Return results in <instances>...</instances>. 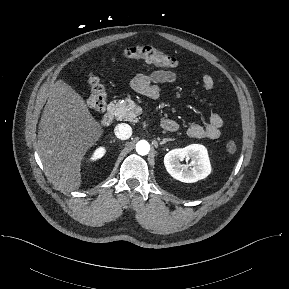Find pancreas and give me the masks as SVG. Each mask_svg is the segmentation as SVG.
I'll return each instance as SVG.
<instances>
[{
	"mask_svg": "<svg viewBox=\"0 0 289 289\" xmlns=\"http://www.w3.org/2000/svg\"><path fill=\"white\" fill-rule=\"evenodd\" d=\"M135 109L136 105L134 101L127 98L114 105L113 114L116 116L117 120L135 122L137 119L136 117L138 116Z\"/></svg>",
	"mask_w": 289,
	"mask_h": 289,
	"instance_id": "1",
	"label": "pancreas"
}]
</instances>
